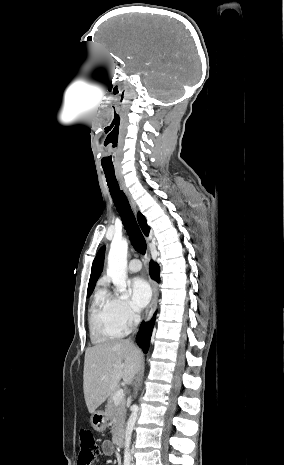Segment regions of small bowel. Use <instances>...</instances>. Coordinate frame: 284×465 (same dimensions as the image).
<instances>
[{"label": "small bowel", "mask_w": 284, "mask_h": 465, "mask_svg": "<svg viewBox=\"0 0 284 465\" xmlns=\"http://www.w3.org/2000/svg\"><path fill=\"white\" fill-rule=\"evenodd\" d=\"M101 453L105 456H111L113 454V446L110 442L105 441L101 447Z\"/></svg>", "instance_id": "small-bowel-1"}]
</instances>
